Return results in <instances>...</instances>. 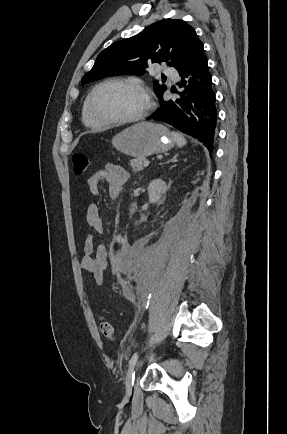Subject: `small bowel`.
Masks as SVG:
<instances>
[{
    "label": "small bowel",
    "instance_id": "c3829d8e",
    "mask_svg": "<svg viewBox=\"0 0 287 434\" xmlns=\"http://www.w3.org/2000/svg\"><path fill=\"white\" fill-rule=\"evenodd\" d=\"M129 179V173L120 165L107 164L103 169L93 173L87 180L89 191L100 196V184L106 183L110 198L117 199ZM85 219L93 232L98 235L105 233V225L100 216L99 202L87 205ZM81 268L92 275L97 284L104 282L108 266V254L102 244H97L93 234H89L83 243V256L80 261Z\"/></svg>",
    "mask_w": 287,
    "mask_h": 434
}]
</instances>
